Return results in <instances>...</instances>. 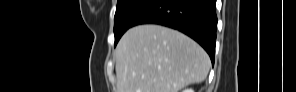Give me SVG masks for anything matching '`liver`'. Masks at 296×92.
Segmentation results:
<instances>
[{
  "instance_id": "1",
  "label": "liver",
  "mask_w": 296,
  "mask_h": 92,
  "mask_svg": "<svg viewBox=\"0 0 296 92\" xmlns=\"http://www.w3.org/2000/svg\"><path fill=\"white\" fill-rule=\"evenodd\" d=\"M115 57L118 92H178L204 81L211 65L208 54L191 38L150 24L129 29Z\"/></svg>"
}]
</instances>
